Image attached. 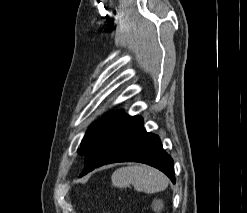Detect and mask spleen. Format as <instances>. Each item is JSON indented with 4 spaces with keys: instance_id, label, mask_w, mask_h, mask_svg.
I'll use <instances>...</instances> for the list:
<instances>
[{
    "instance_id": "obj_1",
    "label": "spleen",
    "mask_w": 247,
    "mask_h": 213,
    "mask_svg": "<svg viewBox=\"0 0 247 213\" xmlns=\"http://www.w3.org/2000/svg\"><path fill=\"white\" fill-rule=\"evenodd\" d=\"M111 179L115 187L132 185L136 191L146 193L160 192L168 186V179L162 172L146 165L118 168Z\"/></svg>"
}]
</instances>
